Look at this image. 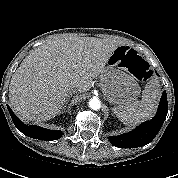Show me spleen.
<instances>
[{
  "label": "spleen",
  "mask_w": 178,
  "mask_h": 178,
  "mask_svg": "<svg viewBox=\"0 0 178 178\" xmlns=\"http://www.w3.org/2000/svg\"><path fill=\"white\" fill-rule=\"evenodd\" d=\"M161 96L160 84L152 80L145 87L142 99L113 108L116 116L126 125H134L152 117Z\"/></svg>",
  "instance_id": "obj_1"
}]
</instances>
